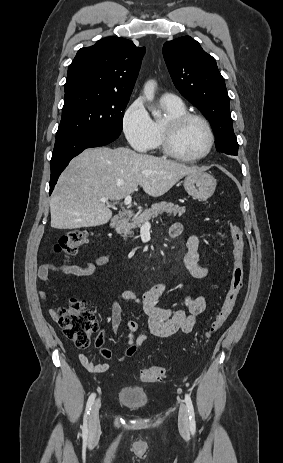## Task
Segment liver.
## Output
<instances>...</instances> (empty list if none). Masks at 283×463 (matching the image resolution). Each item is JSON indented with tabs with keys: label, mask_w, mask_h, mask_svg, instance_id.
Wrapping results in <instances>:
<instances>
[{
	"label": "liver",
	"mask_w": 283,
	"mask_h": 463,
	"mask_svg": "<svg viewBox=\"0 0 283 463\" xmlns=\"http://www.w3.org/2000/svg\"><path fill=\"white\" fill-rule=\"evenodd\" d=\"M202 171L129 148H88L60 175L50 200L51 227L76 229L106 224L112 211L102 202L138 191L159 197L182 177Z\"/></svg>",
	"instance_id": "liver-1"
}]
</instances>
